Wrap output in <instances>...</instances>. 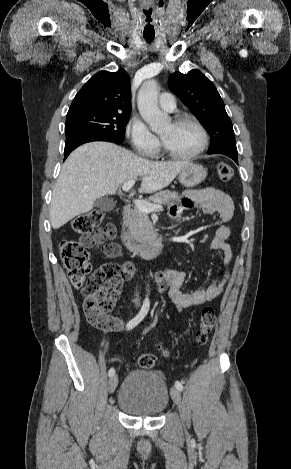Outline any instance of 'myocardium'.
<instances>
[{
	"label": "myocardium",
	"mask_w": 291,
	"mask_h": 469,
	"mask_svg": "<svg viewBox=\"0 0 291 469\" xmlns=\"http://www.w3.org/2000/svg\"><path fill=\"white\" fill-rule=\"evenodd\" d=\"M173 124H181V123H190L192 124L199 132L200 135V143L198 147L191 153L188 154H177L171 151L166 144L164 143L163 139H161V147L164 154L169 156L170 158L176 160H191L198 157L203 151L205 150L208 144V134L204 126L192 115L189 114H182L178 115L174 118Z\"/></svg>",
	"instance_id": "1"
}]
</instances>
